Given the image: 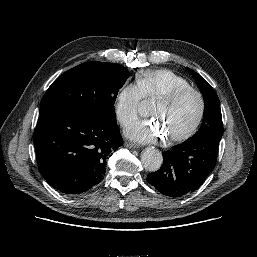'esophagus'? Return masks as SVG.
<instances>
[{"mask_svg": "<svg viewBox=\"0 0 257 257\" xmlns=\"http://www.w3.org/2000/svg\"><path fill=\"white\" fill-rule=\"evenodd\" d=\"M125 146L128 148H137L138 147V145L136 143H133L130 141L125 142Z\"/></svg>", "mask_w": 257, "mask_h": 257, "instance_id": "obj_1", "label": "esophagus"}]
</instances>
